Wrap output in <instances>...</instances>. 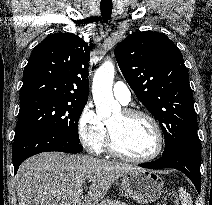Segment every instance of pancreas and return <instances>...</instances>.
Segmentation results:
<instances>
[{
    "mask_svg": "<svg viewBox=\"0 0 212 205\" xmlns=\"http://www.w3.org/2000/svg\"><path fill=\"white\" fill-rule=\"evenodd\" d=\"M98 205H126V204L122 203V202H120L118 200H109V199H107V200L102 201Z\"/></svg>",
    "mask_w": 212,
    "mask_h": 205,
    "instance_id": "pancreas-1",
    "label": "pancreas"
}]
</instances>
